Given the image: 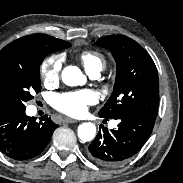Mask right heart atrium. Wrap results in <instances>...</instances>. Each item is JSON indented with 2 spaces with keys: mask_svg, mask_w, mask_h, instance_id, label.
Wrapping results in <instances>:
<instances>
[{
  "mask_svg": "<svg viewBox=\"0 0 183 183\" xmlns=\"http://www.w3.org/2000/svg\"><path fill=\"white\" fill-rule=\"evenodd\" d=\"M62 69V59L53 55L47 57L41 64L40 75L46 85H54L59 81Z\"/></svg>",
  "mask_w": 183,
  "mask_h": 183,
  "instance_id": "1",
  "label": "right heart atrium"
}]
</instances>
